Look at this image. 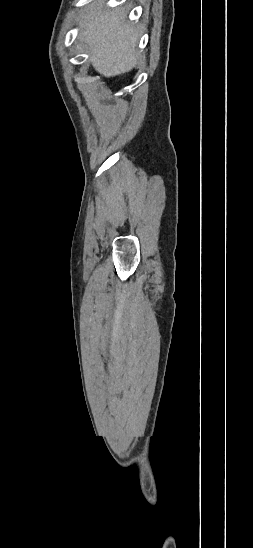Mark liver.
Wrapping results in <instances>:
<instances>
[{"label":"liver","instance_id":"liver-1","mask_svg":"<svg viewBox=\"0 0 253 548\" xmlns=\"http://www.w3.org/2000/svg\"><path fill=\"white\" fill-rule=\"evenodd\" d=\"M126 17L124 8L105 10L99 1L80 23L79 39L90 52L93 68L104 77L124 74L137 64L140 29Z\"/></svg>","mask_w":253,"mask_h":548}]
</instances>
